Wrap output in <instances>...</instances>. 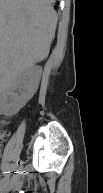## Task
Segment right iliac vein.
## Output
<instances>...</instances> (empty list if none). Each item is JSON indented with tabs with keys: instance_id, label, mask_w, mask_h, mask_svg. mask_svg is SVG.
I'll return each mask as SVG.
<instances>
[{
	"instance_id": "1",
	"label": "right iliac vein",
	"mask_w": 103,
	"mask_h": 193,
	"mask_svg": "<svg viewBox=\"0 0 103 193\" xmlns=\"http://www.w3.org/2000/svg\"><path fill=\"white\" fill-rule=\"evenodd\" d=\"M20 171L13 176V178L11 179V181L9 182L8 184V189H12L19 181V178H20Z\"/></svg>"
}]
</instances>
